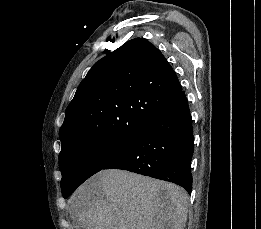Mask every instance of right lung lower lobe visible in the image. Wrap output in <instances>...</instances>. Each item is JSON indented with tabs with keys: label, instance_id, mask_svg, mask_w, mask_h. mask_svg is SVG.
<instances>
[{
	"label": "right lung lower lobe",
	"instance_id": "1",
	"mask_svg": "<svg viewBox=\"0 0 261 229\" xmlns=\"http://www.w3.org/2000/svg\"><path fill=\"white\" fill-rule=\"evenodd\" d=\"M194 151L192 118L181 90L169 106L150 122L129 147L103 169H123L173 182L192 191Z\"/></svg>",
	"mask_w": 261,
	"mask_h": 229
}]
</instances>
